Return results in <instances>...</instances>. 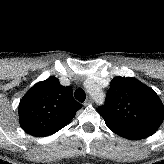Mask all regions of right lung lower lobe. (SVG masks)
I'll return each instance as SVG.
<instances>
[{
	"label": "right lung lower lobe",
	"instance_id": "obj_1",
	"mask_svg": "<svg viewBox=\"0 0 164 164\" xmlns=\"http://www.w3.org/2000/svg\"><path fill=\"white\" fill-rule=\"evenodd\" d=\"M64 127V126H63ZM62 128V127H61ZM60 128V129H61ZM60 129H58V130H60ZM58 130H56L55 132H57ZM55 132H53V133H55ZM53 133H51V134H53ZM51 134H48V135H51ZM48 135H46V136H48ZM42 137H45V136H42Z\"/></svg>",
	"mask_w": 164,
	"mask_h": 164
}]
</instances>
